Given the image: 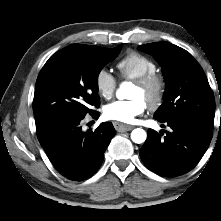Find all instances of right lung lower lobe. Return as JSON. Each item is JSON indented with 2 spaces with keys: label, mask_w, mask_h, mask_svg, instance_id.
<instances>
[{
  "label": "right lung lower lobe",
  "mask_w": 221,
  "mask_h": 221,
  "mask_svg": "<svg viewBox=\"0 0 221 221\" xmlns=\"http://www.w3.org/2000/svg\"><path fill=\"white\" fill-rule=\"evenodd\" d=\"M94 119L100 115L93 111ZM84 117L65 120L39 139L55 169L72 181H83L100 168L104 152L116 131L111 122H104L95 130L82 131Z\"/></svg>",
  "instance_id": "98d812e1"
}]
</instances>
